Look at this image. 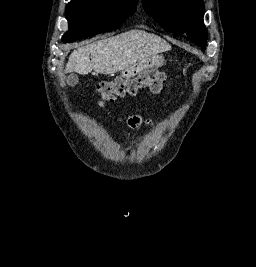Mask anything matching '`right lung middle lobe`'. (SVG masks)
<instances>
[{"label":"right lung middle lobe","instance_id":"1","mask_svg":"<svg viewBox=\"0 0 256 267\" xmlns=\"http://www.w3.org/2000/svg\"><path fill=\"white\" fill-rule=\"evenodd\" d=\"M69 30L62 37L64 43L72 42L121 27L136 11L131 0H72L66 6Z\"/></svg>","mask_w":256,"mask_h":267}]
</instances>
